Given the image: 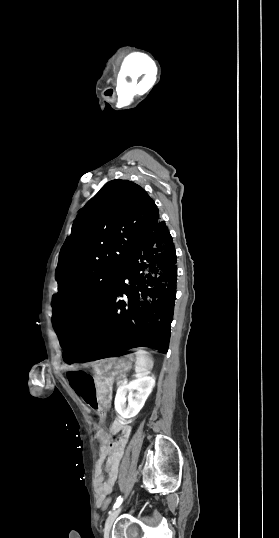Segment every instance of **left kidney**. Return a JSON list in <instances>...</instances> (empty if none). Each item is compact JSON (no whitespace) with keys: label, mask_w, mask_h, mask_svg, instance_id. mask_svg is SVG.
Returning <instances> with one entry per match:
<instances>
[{"label":"left kidney","mask_w":279,"mask_h":538,"mask_svg":"<svg viewBox=\"0 0 279 538\" xmlns=\"http://www.w3.org/2000/svg\"><path fill=\"white\" fill-rule=\"evenodd\" d=\"M135 378L136 380L130 384L119 386L114 402L116 412L126 420L137 416L155 386V378L147 376V372L146 374L137 372ZM134 390H136V394H133ZM127 394L128 398H126ZM127 400L128 406H126Z\"/></svg>","instance_id":"5707ae66"}]
</instances>
